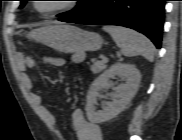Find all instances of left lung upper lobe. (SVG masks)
Returning <instances> with one entry per match:
<instances>
[{
    "label": "left lung upper lobe",
    "mask_w": 182,
    "mask_h": 140,
    "mask_svg": "<svg viewBox=\"0 0 182 140\" xmlns=\"http://www.w3.org/2000/svg\"><path fill=\"white\" fill-rule=\"evenodd\" d=\"M28 0H20L21 4L19 8H23ZM102 0H79L78 5L74 10L58 14L59 20H64L70 22L71 20H76L82 18L93 10H95Z\"/></svg>",
    "instance_id": "1"
}]
</instances>
